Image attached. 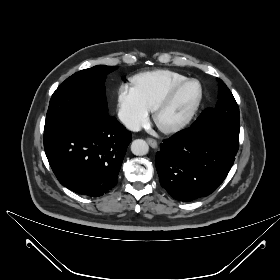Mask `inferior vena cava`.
<instances>
[{"label": "inferior vena cava", "mask_w": 280, "mask_h": 280, "mask_svg": "<svg viewBox=\"0 0 280 280\" xmlns=\"http://www.w3.org/2000/svg\"><path fill=\"white\" fill-rule=\"evenodd\" d=\"M118 117L127 129L136 132L141 129L139 121L128 113L121 111L119 112Z\"/></svg>", "instance_id": "1"}]
</instances>
